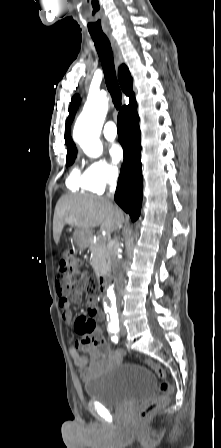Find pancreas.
Here are the masks:
<instances>
[{
  "mask_svg": "<svg viewBox=\"0 0 221 448\" xmlns=\"http://www.w3.org/2000/svg\"><path fill=\"white\" fill-rule=\"evenodd\" d=\"M89 249L91 251V265L94 271L101 274L109 268V251L107 249L106 240L97 237L96 242L90 241Z\"/></svg>",
  "mask_w": 221,
  "mask_h": 448,
  "instance_id": "obj_1",
  "label": "pancreas"
}]
</instances>
